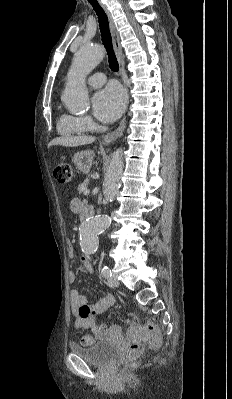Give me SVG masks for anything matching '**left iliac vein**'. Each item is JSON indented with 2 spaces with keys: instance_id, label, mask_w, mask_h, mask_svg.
Instances as JSON below:
<instances>
[{
  "instance_id": "left-iliac-vein-1",
  "label": "left iliac vein",
  "mask_w": 232,
  "mask_h": 399,
  "mask_svg": "<svg viewBox=\"0 0 232 399\" xmlns=\"http://www.w3.org/2000/svg\"><path fill=\"white\" fill-rule=\"evenodd\" d=\"M117 285H120V283H118L117 278H109V286H117Z\"/></svg>"
}]
</instances>
